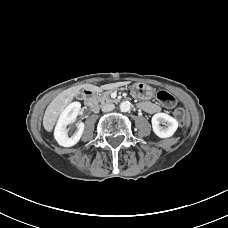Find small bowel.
<instances>
[{
  "instance_id": "small-bowel-1",
  "label": "small bowel",
  "mask_w": 228,
  "mask_h": 228,
  "mask_svg": "<svg viewBox=\"0 0 228 228\" xmlns=\"http://www.w3.org/2000/svg\"><path fill=\"white\" fill-rule=\"evenodd\" d=\"M142 110L149 114H155L160 111V106L157 103L151 101H145L138 105Z\"/></svg>"
}]
</instances>
